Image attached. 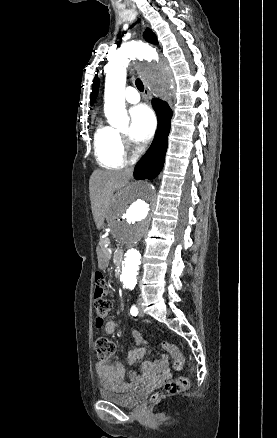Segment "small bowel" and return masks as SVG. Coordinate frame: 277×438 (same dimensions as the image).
Instances as JSON below:
<instances>
[{
  "label": "small bowel",
  "instance_id": "1",
  "mask_svg": "<svg viewBox=\"0 0 277 438\" xmlns=\"http://www.w3.org/2000/svg\"><path fill=\"white\" fill-rule=\"evenodd\" d=\"M104 330L109 335L115 334L116 323L113 320L107 321L104 325ZM133 335L135 338L134 348L128 356V362L131 365L142 358L145 352L142 347L143 340L140 334L137 331H133ZM95 371L102 387L118 392L129 390L141 379L139 373L136 371L126 373L124 366L120 362L113 360L98 361L95 365ZM151 371L163 372L165 375L170 376L171 370L169 356L163 354L156 363L143 362L141 364L142 375H146ZM125 378H127V380H125Z\"/></svg>",
  "mask_w": 277,
  "mask_h": 438
}]
</instances>
